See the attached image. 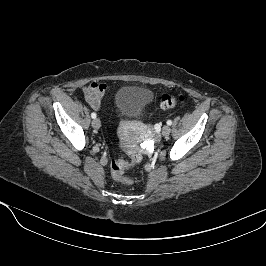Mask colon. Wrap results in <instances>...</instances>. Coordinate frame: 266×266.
<instances>
[{"label":"colon","instance_id":"obj_1","mask_svg":"<svg viewBox=\"0 0 266 266\" xmlns=\"http://www.w3.org/2000/svg\"><path fill=\"white\" fill-rule=\"evenodd\" d=\"M184 97L182 95L171 96L163 95L161 97L160 106L162 109L168 110L173 108L177 103L182 102ZM127 157H122L113 160L110 165L112 178L123 184H131L132 181L125 176V173L132 167L137 165L142 160L141 152L130 145L121 146Z\"/></svg>","mask_w":266,"mask_h":266}]
</instances>
